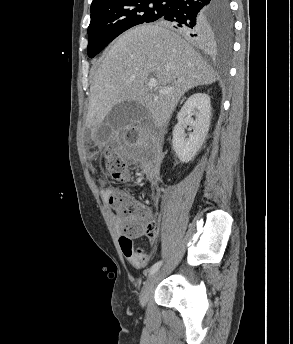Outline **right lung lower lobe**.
<instances>
[{
	"mask_svg": "<svg viewBox=\"0 0 293 344\" xmlns=\"http://www.w3.org/2000/svg\"><path fill=\"white\" fill-rule=\"evenodd\" d=\"M215 4L216 0H169L167 12L161 20L171 21V25L193 43L211 50L215 43Z\"/></svg>",
	"mask_w": 293,
	"mask_h": 344,
	"instance_id": "obj_1",
	"label": "right lung lower lobe"
}]
</instances>
